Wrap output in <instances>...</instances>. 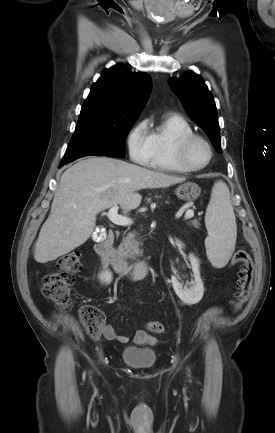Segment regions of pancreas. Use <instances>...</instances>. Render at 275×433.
Wrapping results in <instances>:
<instances>
[{
    "label": "pancreas",
    "instance_id": "cf45deb5",
    "mask_svg": "<svg viewBox=\"0 0 275 433\" xmlns=\"http://www.w3.org/2000/svg\"><path fill=\"white\" fill-rule=\"evenodd\" d=\"M191 225H193L195 228H199L200 223L197 220H193L191 221ZM118 251L126 259H133L141 253L139 249V242L135 239L134 232L128 233L127 236L122 239V242L118 247Z\"/></svg>",
    "mask_w": 275,
    "mask_h": 433
}]
</instances>
